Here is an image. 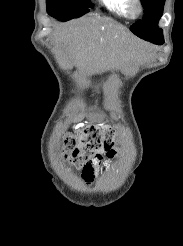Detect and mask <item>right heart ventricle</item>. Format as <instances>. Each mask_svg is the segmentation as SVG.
<instances>
[{
	"label": "right heart ventricle",
	"mask_w": 183,
	"mask_h": 246,
	"mask_svg": "<svg viewBox=\"0 0 183 246\" xmlns=\"http://www.w3.org/2000/svg\"><path fill=\"white\" fill-rule=\"evenodd\" d=\"M99 2L109 11L117 16L127 18V0H99Z\"/></svg>",
	"instance_id": "right-heart-ventricle-1"
}]
</instances>
